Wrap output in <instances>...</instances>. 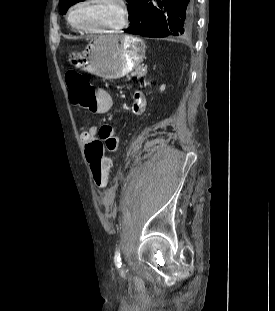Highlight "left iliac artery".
I'll return each instance as SVG.
<instances>
[{
  "label": "left iliac artery",
  "mask_w": 275,
  "mask_h": 311,
  "mask_svg": "<svg viewBox=\"0 0 275 311\" xmlns=\"http://www.w3.org/2000/svg\"><path fill=\"white\" fill-rule=\"evenodd\" d=\"M121 259H120V250H117L116 253H115V261L116 262H119Z\"/></svg>",
  "instance_id": "left-iliac-artery-1"
}]
</instances>
